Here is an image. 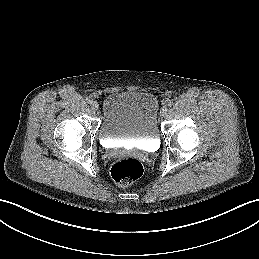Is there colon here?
Returning <instances> with one entry per match:
<instances>
[{"instance_id":"obj_1","label":"colon","mask_w":259,"mask_h":259,"mask_svg":"<svg viewBox=\"0 0 259 259\" xmlns=\"http://www.w3.org/2000/svg\"><path fill=\"white\" fill-rule=\"evenodd\" d=\"M143 174L142 163L134 157H123L114 162L111 175L120 186H128Z\"/></svg>"}]
</instances>
